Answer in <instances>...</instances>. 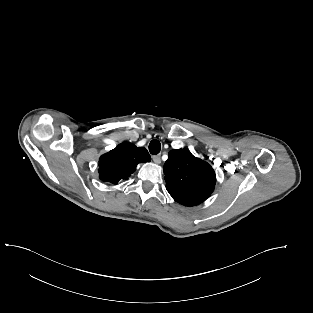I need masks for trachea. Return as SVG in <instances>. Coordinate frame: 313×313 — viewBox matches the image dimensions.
Masks as SVG:
<instances>
[{"mask_svg": "<svg viewBox=\"0 0 313 313\" xmlns=\"http://www.w3.org/2000/svg\"><path fill=\"white\" fill-rule=\"evenodd\" d=\"M161 150V144L158 140H152L149 144V151L151 154L156 155Z\"/></svg>", "mask_w": 313, "mask_h": 313, "instance_id": "1", "label": "trachea"}]
</instances>
